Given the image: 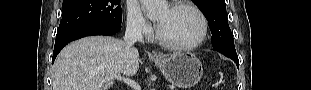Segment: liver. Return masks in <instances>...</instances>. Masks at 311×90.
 I'll return each instance as SVG.
<instances>
[{"label":"liver","instance_id":"obj_1","mask_svg":"<svg viewBox=\"0 0 311 90\" xmlns=\"http://www.w3.org/2000/svg\"><path fill=\"white\" fill-rule=\"evenodd\" d=\"M139 53L131 44L107 36L82 38L67 45L53 66V90H108L113 79L134 75Z\"/></svg>","mask_w":311,"mask_h":90}]
</instances>
